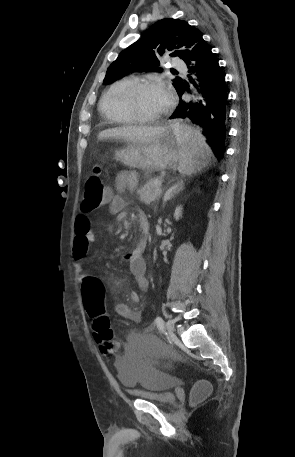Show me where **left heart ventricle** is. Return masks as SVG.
<instances>
[{
	"label": "left heart ventricle",
	"mask_w": 295,
	"mask_h": 457,
	"mask_svg": "<svg viewBox=\"0 0 295 457\" xmlns=\"http://www.w3.org/2000/svg\"><path fill=\"white\" fill-rule=\"evenodd\" d=\"M137 105L140 112L147 116H156L166 109L158 93L157 85L142 90L138 94Z\"/></svg>",
	"instance_id": "left-heart-ventricle-1"
}]
</instances>
